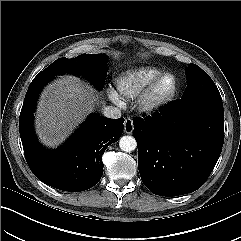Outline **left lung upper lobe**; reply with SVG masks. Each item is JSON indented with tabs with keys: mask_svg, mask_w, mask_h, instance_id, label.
I'll return each mask as SVG.
<instances>
[{
	"mask_svg": "<svg viewBox=\"0 0 241 241\" xmlns=\"http://www.w3.org/2000/svg\"><path fill=\"white\" fill-rule=\"evenodd\" d=\"M187 87L181 99H188L200 96L212 97L220 99L221 95L208 74L200 67L189 64L186 69Z\"/></svg>",
	"mask_w": 241,
	"mask_h": 241,
	"instance_id": "1",
	"label": "left lung upper lobe"
}]
</instances>
